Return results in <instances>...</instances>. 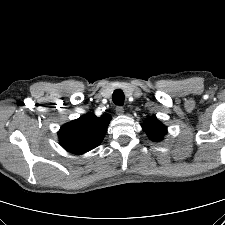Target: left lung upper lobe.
Wrapping results in <instances>:
<instances>
[{
	"mask_svg": "<svg viewBox=\"0 0 225 225\" xmlns=\"http://www.w3.org/2000/svg\"><path fill=\"white\" fill-rule=\"evenodd\" d=\"M143 129L153 141L162 140L163 136L167 133V128L155 116L147 118L144 121Z\"/></svg>",
	"mask_w": 225,
	"mask_h": 225,
	"instance_id": "left-lung-upper-lobe-1",
	"label": "left lung upper lobe"
}]
</instances>
